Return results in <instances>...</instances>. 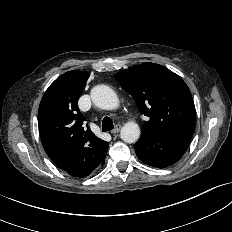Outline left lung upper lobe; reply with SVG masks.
Instances as JSON below:
<instances>
[{
	"label": "left lung upper lobe",
	"instance_id": "5c2ea615",
	"mask_svg": "<svg viewBox=\"0 0 232 232\" xmlns=\"http://www.w3.org/2000/svg\"><path fill=\"white\" fill-rule=\"evenodd\" d=\"M121 86L148 117L142 132L192 135L196 111L188 86L180 76L155 63H142L118 72Z\"/></svg>",
	"mask_w": 232,
	"mask_h": 232
}]
</instances>
